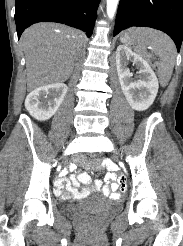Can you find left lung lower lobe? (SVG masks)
<instances>
[{
  "label": "left lung lower lobe",
  "mask_w": 183,
  "mask_h": 246,
  "mask_svg": "<svg viewBox=\"0 0 183 246\" xmlns=\"http://www.w3.org/2000/svg\"><path fill=\"white\" fill-rule=\"evenodd\" d=\"M133 26L165 32L179 52L183 40V0H120L113 36Z\"/></svg>",
  "instance_id": "left-lung-lower-lobe-1"
}]
</instances>
